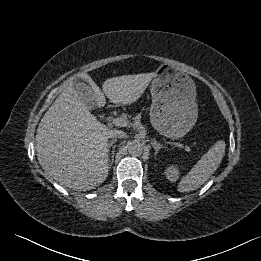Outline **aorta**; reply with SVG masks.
<instances>
[{"label":"aorta","instance_id":"aorta-1","mask_svg":"<svg viewBox=\"0 0 261 261\" xmlns=\"http://www.w3.org/2000/svg\"><path fill=\"white\" fill-rule=\"evenodd\" d=\"M128 152L132 156H140L143 153V145L140 141L134 140L128 144Z\"/></svg>","mask_w":261,"mask_h":261}]
</instances>
